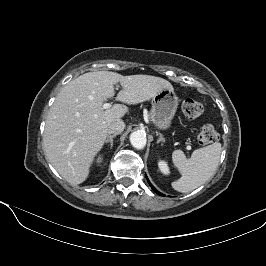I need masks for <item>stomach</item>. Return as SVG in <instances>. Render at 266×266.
Masks as SVG:
<instances>
[{
	"instance_id": "0dacf381",
	"label": "stomach",
	"mask_w": 266,
	"mask_h": 266,
	"mask_svg": "<svg viewBox=\"0 0 266 266\" xmlns=\"http://www.w3.org/2000/svg\"><path fill=\"white\" fill-rule=\"evenodd\" d=\"M178 107V98L173 90L164 89L152 98L150 121L159 129H167Z\"/></svg>"
}]
</instances>
